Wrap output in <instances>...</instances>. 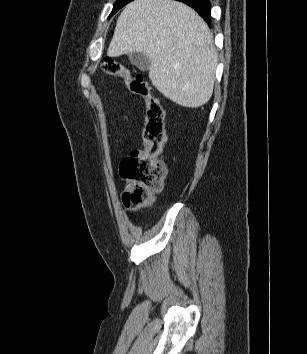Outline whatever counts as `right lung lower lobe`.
<instances>
[{"label":"right lung lower lobe","mask_w":307,"mask_h":354,"mask_svg":"<svg viewBox=\"0 0 307 354\" xmlns=\"http://www.w3.org/2000/svg\"><path fill=\"white\" fill-rule=\"evenodd\" d=\"M186 3L199 13L206 22H209L211 3L209 0H177ZM210 25V24H209Z\"/></svg>","instance_id":"right-lung-lower-lobe-1"}]
</instances>
